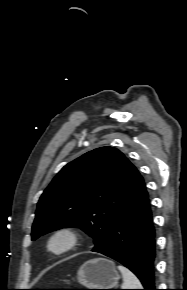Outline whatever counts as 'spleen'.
<instances>
[{"label": "spleen", "mask_w": 187, "mask_h": 290, "mask_svg": "<svg viewBox=\"0 0 187 290\" xmlns=\"http://www.w3.org/2000/svg\"><path fill=\"white\" fill-rule=\"evenodd\" d=\"M118 269L123 276L122 289H142L140 281L128 268L119 265Z\"/></svg>", "instance_id": "1"}]
</instances>
